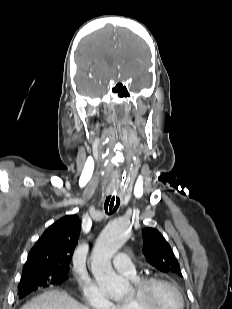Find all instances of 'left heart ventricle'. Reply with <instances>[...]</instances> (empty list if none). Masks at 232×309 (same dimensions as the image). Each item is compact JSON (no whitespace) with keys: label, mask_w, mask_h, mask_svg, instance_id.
Masks as SVG:
<instances>
[{"label":"left heart ventricle","mask_w":232,"mask_h":309,"mask_svg":"<svg viewBox=\"0 0 232 309\" xmlns=\"http://www.w3.org/2000/svg\"><path fill=\"white\" fill-rule=\"evenodd\" d=\"M152 301L156 309H181V300L177 292L164 284L154 286Z\"/></svg>","instance_id":"obj_1"}]
</instances>
